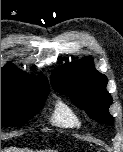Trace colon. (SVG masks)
<instances>
[{"mask_svg": "<svg viewBox=\"0 0 123 152\" xmlns=\"http://www.w3.org/2000/svg\"><path fill=\"white\" fill-rule=\"evenodd\" d=\"M96 152H105L104 150H97Z\"/></svg>", "mask_w": 123, "mask_h": 152, "instance_id": "1", "label": "colon"}]
</instances>
